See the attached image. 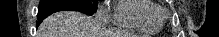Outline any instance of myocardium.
Masks as SVG:
<instances>
[{"instance_id": "obj_1", "label": "myocardium", "mask_w": 219, "mask_h": 37, "mask_svg": "<svg viewBox=\"0 0 219 37\" xmlns=\"http://www.w3.org/2000/svg\"><path fill=\"white\" fill-rule=\"evenodd\" d=\"M159 18H164L165 17V14L163 12H159Z\"/></svg>"}]
</instances>
